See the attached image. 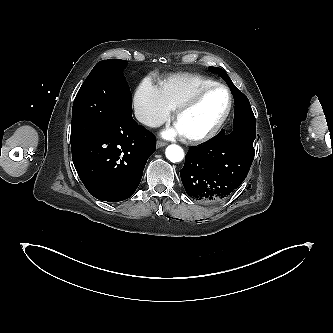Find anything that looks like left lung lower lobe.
<instances>
[{
  "label": "left lung lower lobe",
  "instance_id": "1",
  "mask_svg": "<svg viewBox=\"0 0 333 333\" xmlns=\"http://www.w3.org/2000/svg\"><path fill=\"white\" fill-rule=\"evenodd\" d=\"M254 154L252 139L235 128L189 149L180 171L187 194L209 204L226 199L247 177Z\"/></svg>",
  "mask_w": 333,
  "mask_h": 333
}]
</instances>
